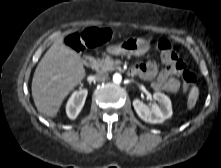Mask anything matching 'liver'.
Returning a JSON list of instances; mask_svg holds the SVG:
<instances>
[{"instance_id":"1","label":"liver","mask_w":221,"mask_h":168,"mask_svg":"<svg viewBox=\"0 0 221 168\" xmlns=\"http://www.w3.org/2000/svg\"><path fill=\"white\" fill-rule=\"evenodd\" d=\"M80 55L58 37L40 60L32 79V97L37 110L56 117L63 100L85 78Z\"/></svg>"}]
</instances>
